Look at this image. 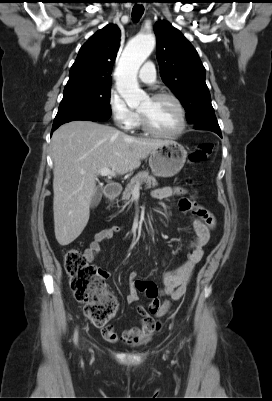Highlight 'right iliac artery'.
I'll use <instances>...</instances> for the list:
<instances>
[{
	"mask_svg": "<svg viewBox=\"0 0 272 401\" xmlns=\"http://www.w3.org/2000/svg\"><path fill=\"white\" fill-rule=\"evenodd\" d=\"M74 340H75V342H76V340H77V332H75Z\"/></svg>",
	"mask_w": 272,
	"mask_h": 401,
	"instance_id": "right-iliac-artery-1",
	"label": "right iliac artery"
}]
</instances>
